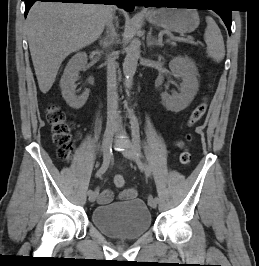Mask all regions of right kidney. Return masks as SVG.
<instances>
[{
  "label": "right kidney",
  "mask_w": 259,
  "mask_h": 266,
  "mask_svg": "<svg viewBox=\"0 0 259 266\" xmlns=\"http://www.w3.org/2000/svg\"><path fill=\"white\" fill-rule=\"evenodd\" d=\"M87 64V54L85 52L76 53L68 62L60 80L62 97L73 109H80L89 97V90L86 89L82 95L76 96V80L79 72Z\"/></svg>",
  "instance_id": "1"
}]
</instances>
